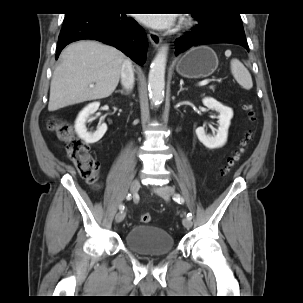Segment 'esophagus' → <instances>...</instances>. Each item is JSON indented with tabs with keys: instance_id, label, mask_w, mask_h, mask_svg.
I'll return each mask as SVG.
<instances>
[{
	"instance_id": "obj_1",
	"label": "esophagus",
	"mask_w": 303,
	"mask_h": 303,
	"mask_svg": "<svg viewBox=\"0 0 303 303\" xmlns=\"http://www.w3.org/2000/svg\"><path fill=\"white\" fill-rule=\"evenodd\" d=\"M148 37H149V40H150L151 44L155 48H159V46L162 43V38L157 33L153 32V31H150L148 33Z\"/></svg>"
}]
</instances>
